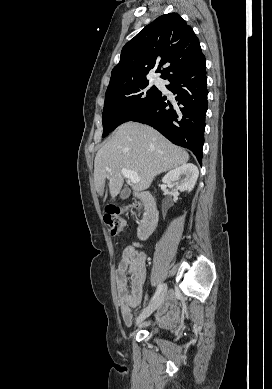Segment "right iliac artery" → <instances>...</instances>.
Returning a JSON list of instances; mask_svg holds the SVG:
<instances>
[{"label": "right iliac artery", "instance_id": "82829eb1", "mask_svg": "<svg viewBox=\"0 0 272 389\" xmlns=\"http://www.w3.org/2000/svg\"><path fill=\"white\" fill-rule=\"evenodd\" d=\"M162 288H163V285L160 283L158 285L157 290H156V292H155V294H154V296H153L151 301H153V300H155L157 298V296L161 293Z\"/></svg>", "mask_w": 272, "mask_h": 389}]
</instances>
